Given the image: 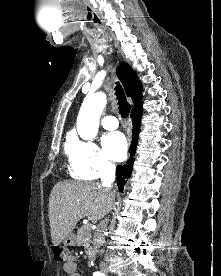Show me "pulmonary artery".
<instances>
[{"label": "pulmonary artery", "instance_id": "1", "mask_svg": "<svg viewBox=\"0 0 221 276\" xmlns=\"http://www.w3.org/2000/svg\"><path fill=\"white\" fill-rule=\"evenodd\" d=\"M103 128L107 130H114L118 127V120L114 116H106L101 120Z\"/></svg>", "mask_w": 221, "mask_h": 276}]
</instances>
